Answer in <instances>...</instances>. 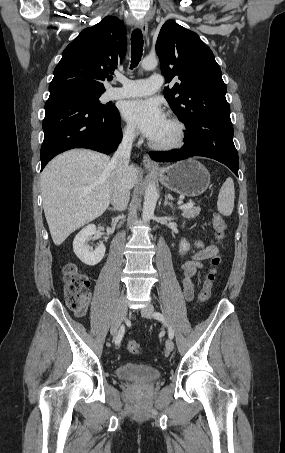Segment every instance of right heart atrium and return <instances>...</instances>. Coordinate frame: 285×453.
Here are the masks:
<instances>
[{
    "mask_svg": "<svg viewBox=\"0 0 285 453\" xmlns=\"http://www.w3.org/2000/svg\"><path fill=\"white\" fill-rule=\"evenodd\" d=\"M123 137L126 141H133L135 139V136H136V132H135V129L133 128V126L131 125H125L124 128H123Z\"/></svg>",
    "mask_w": 285,
    "mask_h": 453,
    "instance_id": "right-heart-atrium-1",
    "label": "right heart atrium"
}]
</instances>
